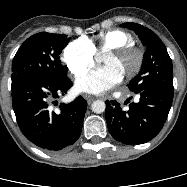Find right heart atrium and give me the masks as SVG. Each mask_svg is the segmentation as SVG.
<instances>
[{
  "label": "right heart atrium",
  "instance_id": "1",
  "mask_svg": "<svg viewBox=\"0 0 187 187\" xmlns=\"http://www.w3.org/2000/svg\"><path fill=\"white\" fill-rule=\"evenodd\" d=\"M63 60L74 76H80L91 68L95 62V52L86 39H78L64 49Z\"/></svg>",
  "mask_w": 187,
  "mask_h": 187
}]
</instances>
